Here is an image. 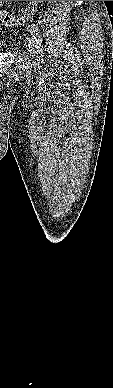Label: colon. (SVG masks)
Returning <instances> with one entry per match:
<instances>
[{"label":"colon","instance_id":"5ec220e1","mask_svg":"<svg viewBox=\"0 0 113 388\" xmlns=\"http://www.w3.org/2000/svg\"><path fill=\"white\" fill-rule=\"evenodd\" d=\"M41 2L42 1H30L29 5L21 10L18 15L0 11V26L9 28L21 25L36 11Z\"/></svg>","mask_w":113,"mask_h":388}]
</instances>
